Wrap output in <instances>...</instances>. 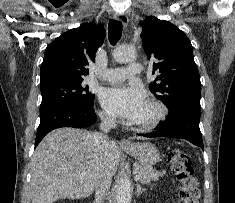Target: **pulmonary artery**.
I'll return each instance as SVG.
<instances>
[{"instance_id": "pulmonary-artery-1", "label": "pulmonary artery", "mask_w": 235, "mask_h": 203, "mask_svg": "<svg viewBox=\"0 0 235 203\" xmlns=\"http://www.w3.org/2000/svg\"><path fill=\"white\" fill-rule=\"evenodd\" d=\"M142 72V65L140 63H130L124 68H109L103 71L100 79L107 82H119Z\"/></svg>"}]
</instances>
